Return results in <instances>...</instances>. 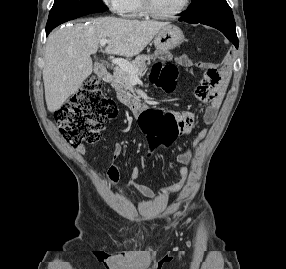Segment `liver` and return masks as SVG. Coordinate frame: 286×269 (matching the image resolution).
I'll return each mask as SVG.
<instances>
[{"label":"liver","mask_w":286,"mask_h":269,"mask_svg":"<svg viewBox=\"0 0 286 269\" xmlns=\"http://www.w3.org/2000/svg\"><path fill=\"white\" fill-rule=\"evenodd\" d=\"M169 22L139 21L114 17L97 18L60 28L51 33L45 49L43 81L50 112H55L92 73L91 54L101 39L110 42L106 54L131 58L138 55Z\"/></svg>","instance_id":"liver-1"}]
</instances>
